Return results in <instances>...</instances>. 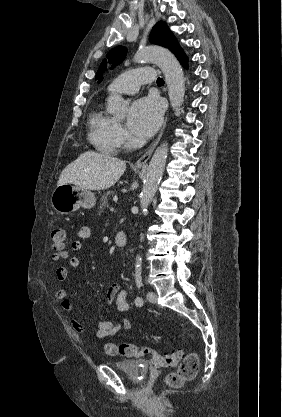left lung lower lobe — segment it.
I'll use <instances>...</instances> for the list:
<instances>
[{
    "label": "left lung lower lobe",
    "instance_id": "1",
    "mask_svg": "<svg viewBox=\"0 0 282 417\" xmlns=\"http://www.w3.org/2000/svg\"><path fill=\"white\" fill-rule=\"evenodd\" d=\"M173 53L175 54V56L177 57V59L180 61V63L187 67V62H188V58L187 56L184 54L183 50L180 47H177Z\"/></svg>",
    "mask_w": 282,
    "mask_h": 417
}]
</instances>
